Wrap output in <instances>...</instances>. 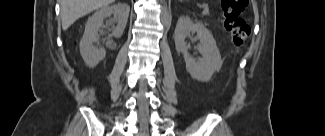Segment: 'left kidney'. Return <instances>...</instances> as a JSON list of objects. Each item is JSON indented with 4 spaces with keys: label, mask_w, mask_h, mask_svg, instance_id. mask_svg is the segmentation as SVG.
<instances>
[{
    "label": "left kidney",
    "mask_w": 325,
    "mask_h": 136,
    "mask_svg": "<svg viewBox=\"0 0 325 136\" xmlns=\"http://www.w3.org/2000/svg\"><path fill=\"white\" fill-rule=\"evenodd\" d=\"M190 33H196L197 38L200 40L198 51L202 57L199 61H196L188 53V45L185 42V38ZM174 40L176 50L184 55L186 70L192 78L201 82H208L214 72L221 69L223 61L216 41L203 23H194L188 17H180L175 28Z\"/></svg>",
    "instance_id": "left-kidney-1"
}]
</instances>
